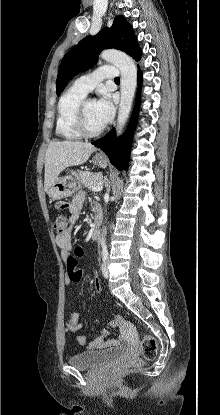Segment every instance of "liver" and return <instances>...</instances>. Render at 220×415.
Listing matches in <instances>:
<instances>
[{
    "mask_svg": "<svg viewBox=\"0 0 220 415\" xmlns=\"http://www.w3.org/2000/svg\"><path fill=\"white\" fill-rule=\"evenodd\" d=\"M96 147L80 141L51 142L45 154L44 188L48 193L50 186L67 167L85 163Z\"/></svg>",
    "mask_w": 220,
    "mask_h": 415,
    "instance_id": "obj_1",
    "label": "liver"
}]
</instances>
